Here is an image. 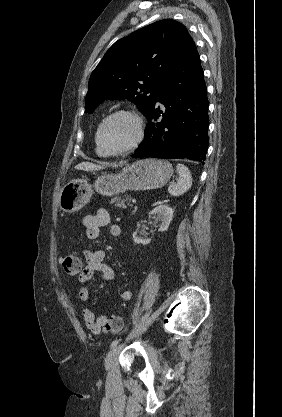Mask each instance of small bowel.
Here are the masks:
<instances>
[{
    "label": "small bowel",
    "mask_w": 282,
    "mask_h": 417,
    "mask_svg": "<svg viewBox=\"0 0 282 417\" xmlns=\"http://www.w3.org/2000/svg\"><path fill=\"white\" fill-rule=\"evenodd\" d=\"M81 224L86 229V236L90 240L97 239L101 230L107 227L108 232L113 237H120L122 228L119 224L112 223L110 215L105 208H98L94 214H85L81 217ZM84 266L81 268V278L78 279L82 284L78 291V298L81 301H87L90 296V287L98 278L101 281L108 282L114 279L113 269L105 263L106 251L103 248L84 251ZM133 297V291L129 288L120 292L122 301H130ZM82 316L85 326L95 335L105 331L103 319L107 315L95 316L94 312L87 306L82 308ZM120 318V317H118Z\"/></svg>",
    "instance_id": "obj_1"
}]
</instances>
